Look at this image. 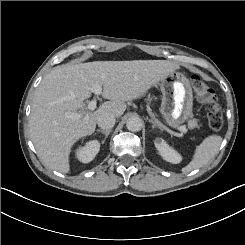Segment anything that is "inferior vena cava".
Returning <instances> with one entry per match:
<instances>
[{"instance_id":"602c4592","label":"inferior vena cava","mask_w":245,"mask_h":245,"mask_svg":"<svg viewBox=\"0 0 245 245\" xmlns=\"http://www.w3.org/2000/svg\"><path fill=\"white\" fill-rule=\"evenodd\" d=\"M98 126L102 129H110L115 124V116L112 113H102L97 119Z\"/></svg>"}]
</instances>
